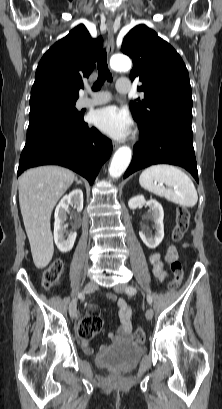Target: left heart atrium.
<instances>
[{"mask_svg": "<svg viewBox=\"0 0 222 409\" xmlns=\"http://www.w3.org/2000/svg\"><path fill=\"white\" fill-rule=\"evenodd\" d=\"M90 120L99 130L115 139H124L131 132L130 116L125 110L115 106H106L95 110L91 114Z\"/></svg>", "mask_w": 222, "mask_h": 409, "instance_id": "obj_1", "label": "left heart atrium"}]
</instances>
